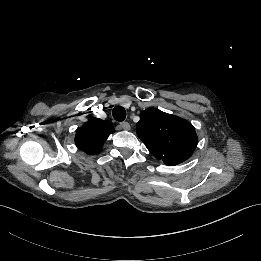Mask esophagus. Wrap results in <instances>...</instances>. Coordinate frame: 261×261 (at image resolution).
Instances as JSON below:
<instances>
[{
    "instance_id": "esophagus-1",
    "label": "esophagus",
    "mask_w": 261,
    "mask_h": 261,
    "mask_svg": "<svg viewBox=\"0 0 261 261\" xmlns=\"http://www.w3.org/2000/svg\"><path fill=\"white\" fill-rule=\"evenodd\" d=\"M120 126L122 127V129L124 130H130V124L128 122H121Z\"/></svg>"
}]
</instances>
